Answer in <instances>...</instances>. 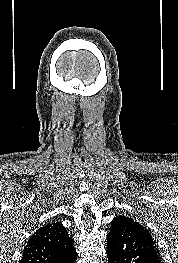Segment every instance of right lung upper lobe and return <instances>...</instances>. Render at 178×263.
Returning <instances> with one entry per match:
<instances>
[{
  "instance_id": "obj_1",
  "label": "right lung upper lobe",
  "mask_w": 178,
  "mask_h": 263,
  "mask_svg": "<svg viewBox=\"0 0 178 263\" xmlns=\"http://www.w3.org/2000/svg\"><path fill=\"white\" fill-rule=\"evenodd\" d=\"M74 252L73 239L63 225L56 222L34 232L19 263H59Z\"/></svg>"
}]
</instances>
